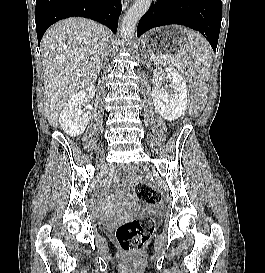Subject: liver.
<instances>
[{
    "label": "liver",
    "instance_id": "6515ba94",
    "mask_svg": "<svg viewBox=\"0 0 265 273\" xmlns=\"http://www.w3.org/2000/svg\"><path fill=\"white\" fill-rule=\"evenodd\" d=\"M104 26L85 18H69L50 27L41 41L44 108L56 127L66 102L97 79L108 48Z\"/></svg>",
    "mask_w": 265,
    "mask_h": 273
}]
</instances>
